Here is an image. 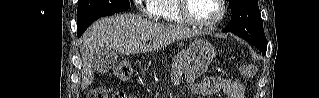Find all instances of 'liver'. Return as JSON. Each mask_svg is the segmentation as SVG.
<instances>
[{
  "instance_id": "6515ba94",
  "label": "liver",
  "mask_w": 319,
  "mask_h": 98,
  "mask_svg": "<svg viewBox=\"0 0 319 98\" xmlns=\"http://www.w3.org/2000/svg\"><path fill=\"white\" fill-rule=\"evenodd\" d=\"M199 34L197 30L150 22L134 14L101 18L86 30L80 40L83 59L81 88L85 90L94 79L92 58L99 50H115L125 55L149 52ZM149 39L152 40L150 44H143Z\"/></svg>"
}]
</instances>
